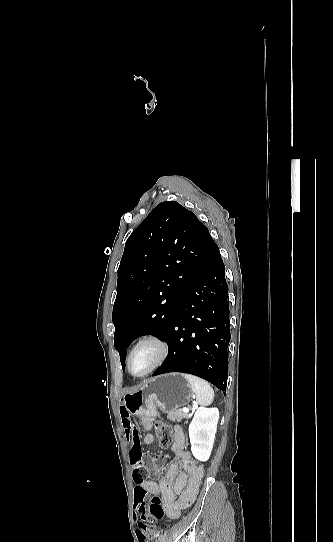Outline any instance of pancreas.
Segmentation results:
<instances>
[{
    "label": "pancreas",
    "mask_w": 333,
    "mask_h": 542,
    "mask_svg": "<svg viewBox=\"0 0 333 542\" xmlns=\"http://www.w3.org/2000/svg\"><path fill=\"white\" fill-rule=\"evenodd\" d=\"M168 420H172V422H181L183 418H186V420H189L190 416L189 414H185V412H182V410H170V412H166Z\"/></svg>",
    "instance_id": "pancreas-1"
}]
</instances>
